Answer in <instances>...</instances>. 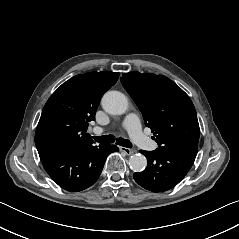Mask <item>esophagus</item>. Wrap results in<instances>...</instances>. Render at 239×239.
<instances>
[{
    "label": "esophagus",
    "instance_id": "obj_1",
    "mask_svg": "<svg viewBox=\"0 0 239 239\" xmlns=\"http://www.w3.org/2000/svg\"><path fill=\"white\" fill-rule=\"evenodd\" d=\"M120 151L124 152L127 155H132L135 151L129 148H125V147H120L119 148Z\"/></svg>",
    "mask_w": 239,
    "mask_h": 239
}]
</instances>
